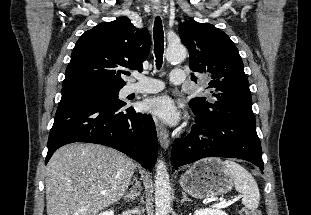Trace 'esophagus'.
I'll use <instances>...</instances> for the list:
<instances>
[{
  "instance_id": "34e87169",
  "label": "esophagus",
  "mask_w": 311,
  "mask_h": 215,
  "mask_svg": "<svg viewBox=\"0 0 311 215\" xmlns=\"http://www.w3.org/2000/svg\"><path fill=\"white\" fill-rule=\"evenodd\" d=\"M152 9L156 15L160 14L162 11L161 6L158 5L153 6ZM155 125L160 145L163 149L166 150L170 144L169 132L166 127H164L157 119H155Z\"/></svg>"
}]
</instances>
